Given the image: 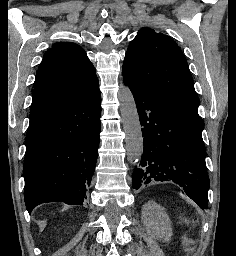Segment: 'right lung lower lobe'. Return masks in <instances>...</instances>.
Segmentation results:
<instances>
[{"mask_svg": "<svg viewBox=\"0 0 236 256\" xmlns=\"http://www.w3.org/2000/svg\"><path fill=\"white\" fill-rule=\"evenodd\" d=\"M101 116L99 85L33 122L26 134L25 204L83 205L94 173Z\"/></svg>", "mask_w": 236, "mask_h": 256, "instance_id": "obj_1", "label": "right lung lower lobe"}]
</instances>
